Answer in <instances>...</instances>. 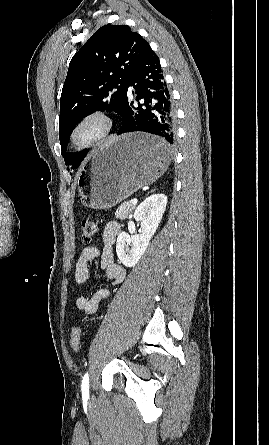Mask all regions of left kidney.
I'll return each mask as SVG.
<instances>
[{
    "mask_svg": "<svg viewBox=\"0 0 269 445\" xmlns=\"http://www.w3.org/2000/svg\"><path fill=\"white\" fill-rule=\"evenodd\" d=\"M166 205V195L152 194L134 212L135 220L141 223V234L131 236L126 232L119 234L116 242V252L119 260L126 267L135 266L146 251L162 220Z\"/></svg>",
    "mask_w": 269,
    "mask_h": 445,
    "instance_id": "5707ae66",
    "label": "left kidney"
}]
</instances>
